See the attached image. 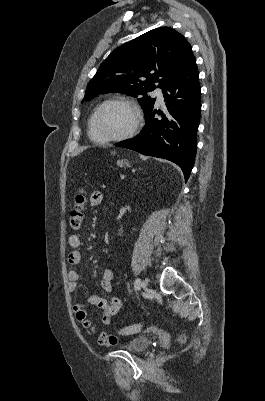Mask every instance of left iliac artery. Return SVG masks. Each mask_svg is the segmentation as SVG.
<instances>
[{
  "label": "left iliac artery",
  "instance_id": "44dca946",
  "mask_svg": "<svg viewBox=\"0 0 265 401\" xmlns=\"http://www.w3.org/2000/svg\"><path fill=\"white\" fill-rule=\"evenodd\" d=\"M141 279L140 278H137L136 280H135V283H134V287H135V289H140V286H141Z\"/></svg>",
  "mask_w": 265,
  "mask_h": 401
}]
</instances>
